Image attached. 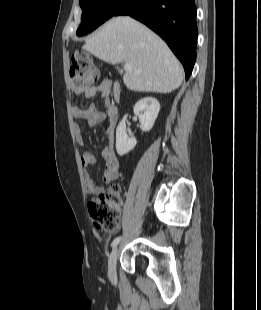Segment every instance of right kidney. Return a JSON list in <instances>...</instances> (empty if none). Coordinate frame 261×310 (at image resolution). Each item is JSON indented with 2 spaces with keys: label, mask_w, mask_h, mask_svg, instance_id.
<instances>
[{
  "label": "right kidney",
  "mask_w": 261,
  "mask_h": 310,
  "mask_svg": "<svg viewBox=\"0 0 261 310\" xmlns=\"http://www.w3.org/2000/svg\"><path fill=\"white\" fill-rule=\"evenodd\" d=\"M134 113L139 116L142 131H150L160 111V103L157 99L146 97L138 101L134 106ZM127 115L123 117L116 129V150L123 156L134 149L137 144L135 138H130L126 132Z\"/></svg>",
  "instance_id": "1"
}]
</instances>
